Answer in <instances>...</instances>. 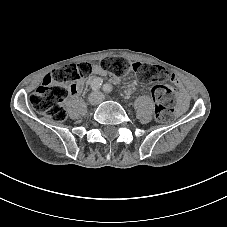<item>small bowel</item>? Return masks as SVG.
Wrapping results in <instances>:
<instances>
[{"label": "small bowel", "mask_w": 227, "mask_h": 227, "mask_svg": "<svg viewBox=\"0 0 227 227\" xmlns=\"http://www.w3.org/2000/svg\"><path fill=\"white\" fill-rule=\"evenodd\" d=\"M93 73L97 76H103V75L106 74V71L104 69H102L100 65H94L93 66ZM171 80H172L173 83H175L180 88V92H181L180 93V99H181V101L186 102L187 99H188V96H187L181 82L179 81L178 77L175 76V75H172ZM91 82H90V84H91ZM82 87H83V84H79L77 91L73 94L79 93L81 91Z\"/></svg>", "instance_id": "c3829d8e"}]
</instances>
